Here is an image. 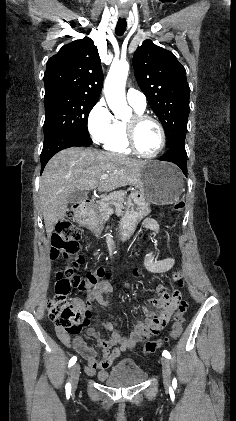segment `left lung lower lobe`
Returning a JSON list of instances; mask_svg holds the SVG:
<instances>
[{"mask_svg":"<svg viewBox=\"0 0 236 421\" xmlns=\"http://www.w3.org/2000/svg\"><path fill=\"white\" fill-rule=\"evenodd\" d=\"M162 161H168L176 164L181 168L187 177V153L185 150L184 142L177 143L168 149V151L159 158Z\"/></svg>","mask_w":236,"mask_h":421,"instance_id":"1","label":"left lung lower lobe"}]
</instances>
